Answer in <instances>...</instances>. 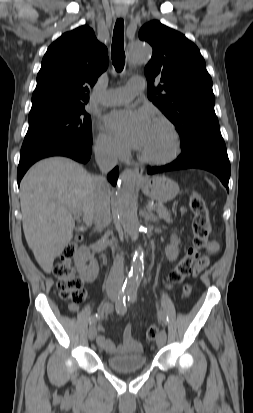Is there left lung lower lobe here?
I'll list each match as a JSON object with an SVG mask.
<instances>
[{
	"label": "left lung lower lobe",
	"instance_id": "0a47b994",
	"mask_svg": "<svg viewBox=\"0 0 253 413\" xmlns=\"http://www.w3.org/2000/svg\"><path fill=\"white\" fill-rule=\"evenodd\" d=\"M187 168L204 169L214 173L229 191L230 162L224 142L206 143L197 152L181 153L174 162L162 167H149L147 173L156 174Z\"/></svg>",
	"mask_w": 253,
	"mask_h": 413
}]
</instances>
